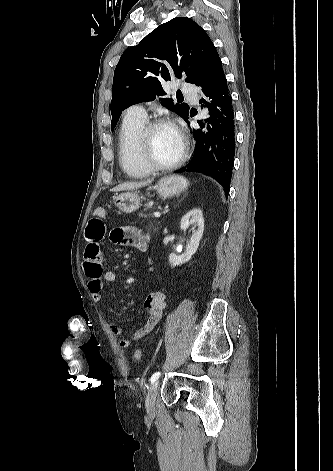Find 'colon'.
<instances>
[{"mask_svg": "<svg viewBox=\"0 0 333 471\" xmlns=\"http://www.w3.org/2000/svg\"><path fill=\"white\" fill-rule=\"evenodd\" d=\"M105 214H106V209L104 207H97L93 212V215L96 217H103L105 216ZM142 354L143 353L141 349H136L134 352V358L136 360H140L142 358Z\"/></svg>", "mask_w": 333, "mask_h": 471, "instance_id": "5ec220e1", "label": "colon"}]
</instances>
